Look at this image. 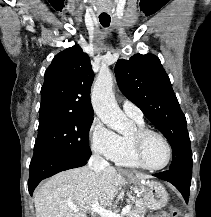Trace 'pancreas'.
I'll return each instance as SVG.
<instances>
[{
	"label": "pancreas",
	"mask_w": 211,
	"mask_h": 217,
	"mask_svg": "<svg viewBox=\"0 0 211 217\" xmlns=\"http://www.w3.org/2000/svg\"><path fill=\"white\" fill-rule=\"evenodd\" d=\"M131 202L134 204V206L127 213V217H144L146 208L144 206L143 199L133 198Z\"/></svg>",
	"instance_id": "1"
}]
</instances>
